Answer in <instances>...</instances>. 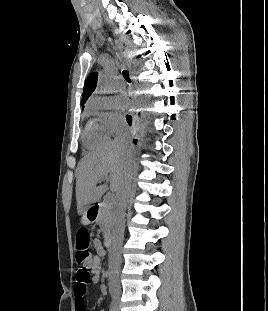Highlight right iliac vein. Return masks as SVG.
<instances>
[{"instance_id":"63e3f726","label":"right iliac vein","mask_w":268,"mask_h":311,"mask_svg":"<svg viewBox=\"0 0 268 311\" xmlns=\"http://www.w3.org/2000/svg\"><path fill=\"white\" fill-rule=\"evenodd\" d=\"M110 294H111V297H112V300H113V303L116 307V311H119V303H120V290L117 289V288H111L110 289Z\"/></svg>"}]
</instances>
